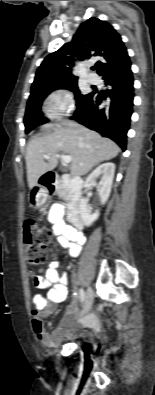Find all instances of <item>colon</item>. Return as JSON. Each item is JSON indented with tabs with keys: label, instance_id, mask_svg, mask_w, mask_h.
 Segmentation results:
<instances>
[{
	"label": "colon",
	"instance_id": "1",
	"mask_svg": "<svg viewBox=\"0 0 155 395\" xmlns=\"http://www.w3.org/2000/svg\"><path fill=\"white\" fill-rule=\"evenodd\" d=\"M51 241V232L37 225L33 220H27L23 226V245L25 260L31 267L30 280L41 279L37 268L47 260V246Z\"/></svg>",
	"mask_w": 155,
	"mask_h": 395
}]
</instances>
